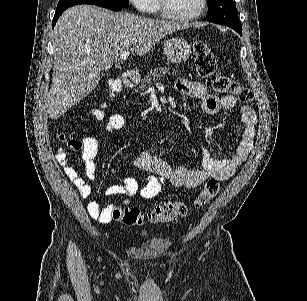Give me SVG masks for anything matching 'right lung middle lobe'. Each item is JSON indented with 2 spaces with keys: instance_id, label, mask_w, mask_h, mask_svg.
<instances>
[{
  "instance_id": "dd1d6c3e",
  "label": "right lung middle lobe",
  "mask_w": 307,
  "mask_h": 301,
  "mask_svg": "<svg viewBox=\"0 0 307 301\" xmlns=\"http://www.w3.org/2000/svg\"><path fill=\"white\" fill-rule=\"evenodd\" d=\"M78 4H108L121 8L129 7L128 0H59L56 11L63 10Z\"/></svg>"
}]
</instances>
